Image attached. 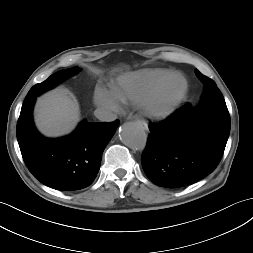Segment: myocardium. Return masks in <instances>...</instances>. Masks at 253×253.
<instances>
[{
  "instance_id": "1",
  "label": "myocardium",
  "mask_w": 253,
  "mask_h": 253,
  "mask_svg": "<svg viewBox=\"0 0 253 253\" xmlns=\"http://www.w3.org/2000/svg\"><path fill=\"white\" fill-rule=\"evenodd\" d=\"M187 91L186 78L182 74H174L145 98V114L154 119L169 117L182 102Z\"/></svg>"
}]
</instances>
